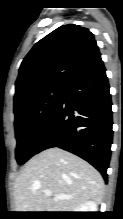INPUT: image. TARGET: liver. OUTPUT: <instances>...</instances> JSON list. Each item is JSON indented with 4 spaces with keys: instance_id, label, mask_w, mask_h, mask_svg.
I'll use <instances>...</instances> for the list:
<instances>
[{
    "instance_id": "6515ba94",
    "label": "liver",
    "mask_w": 123,
    "mask_h": 219,
    "mask_svg": "<svg viewBox=\"0 0 123 219\" xmlns=\"http://www.w3.org/2000/svg\"><path fill=\"white\" fill-rule=\"evenodd\" d=\"M46 190L52 195L46 196ZM56 195L71 198L57 200ZM14 197L16 212H75L89 200L103 201L104 181L88 162L56 147L26 163L15 181Z\"/></svg>"
}]
</instances>
